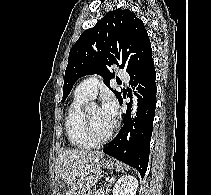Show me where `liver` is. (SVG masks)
Returning <instances> with one entry per match:
<instances>
[{"label":"liver","mask_w":211,"mask_h":195,"mask_svg":"<svg viewBox=\"0 0 211 195\" xmlns=\"http://www.w3.org/2000/svg\"><path fill=\"white\" fill-rule=\"evenodd\" d=\"M102 152L89 150L66 149L58 155L55 175L58 182L67 185L68 195H78L90 189L89 175L98 166ZM64 194L57 190L56 195Z\"/></svg>","instance_id":"liver-1"}]
</instances>
